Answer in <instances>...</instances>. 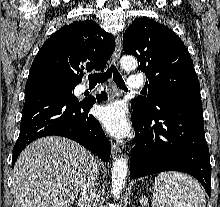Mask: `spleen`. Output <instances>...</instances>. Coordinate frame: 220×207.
Listing matches in <instances>:
<instances>
[{
	"mask_svg": "<svg viewBox=\"0 0 220 207\" xmlns=\"http://www.w3.org/2000/svg\"><path fill=\"white\" fill-rule=\"evenodd\" d=\"M155 207H205V193L192 177L179 172H162L154 182Z\"/></svg>",
	"mask_w": 220,
	"mask_h": 207,
	"instance_id": "obj_1",
	"label": "spleen"
}]
</instances>
